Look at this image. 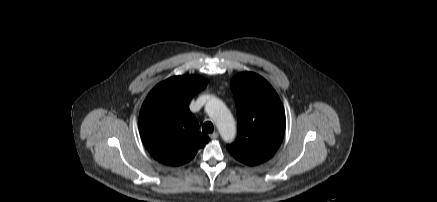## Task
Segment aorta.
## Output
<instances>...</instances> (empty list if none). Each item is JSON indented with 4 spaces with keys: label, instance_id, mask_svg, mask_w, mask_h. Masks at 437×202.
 Instances as JSON below:
<instances>
[{
    "label": "aorta",
    "instance_id": "1",
    "mask_svg": "<svg viewBox=\"0 0 437 202\" xmlns=\"http://www.w3.org/2000/svg\"><path fill=\"white\" fill-rule=\"evenodd\" d=\"M205 110L215 122L222 139L225 142H232L236 136V126L224 102L218 98H212L207 102Z\"/></svg>",
    "mask_w": 437,
    "mask_h": 202
}]
</instances>
